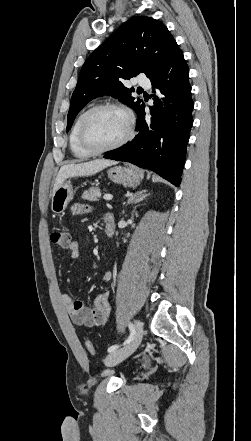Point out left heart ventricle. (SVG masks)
<instances>
[{
	"instance_id": "b2bd125f",
	"label": "left heart ventricle",
	"mask_w": 251,
	"mask_h": 441,
	"mask_svg": "<svg viewBox=\"0 0 251 441\" xmlns=\"http://www.w3.org/2000/svg\"><path fill=\"white\" fill-rule=\"evenodd\" d=\"M126 130L127 121L122 112L115 109H101L89 117L85 136L91 146L102 148L120 140Z\"/></svg>"
}]
</instances>
